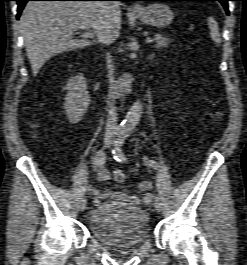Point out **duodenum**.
Returning <instances> with one entry per match:
<instances>
[{
    "instance_id": "duodenum-1",
    "label": "duodenum",
    "mask_w": 247,
    "mask_h": 265,
    "mask_svg": "<svg viewBox=\"0 0 247 265\" xmlns=\"http://www.w3.org/2000/svg\"><path fill=\"white\" fill-rule=\"evenodd\" d=\"M132 76L129 73H124L117 82L116 87L113 89V96L118 101H123L124 98L131 91Z\"/></svg>"
}]
</instances>
